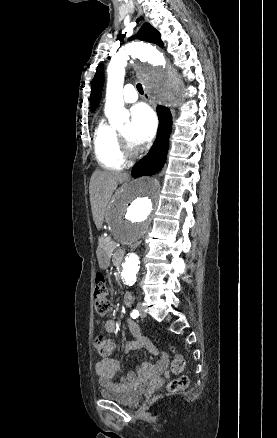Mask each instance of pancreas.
<instances>
[{"mask_svg": "<svg viewBox=\"0 0 277 438\" xmlns=\"http://www.w3.org/2000/svg\"><path fill=\"white\" fill-rule=\"evenodd\" d=\"M111 231H102L101 235H98V244H101L99 250L101 253H117V244H114L112 240Z\"/></svg>", "mask_w": 277, "mask_h": 438, "instance_id": "obj_1", "label": "pancreas"}]
</instances>
